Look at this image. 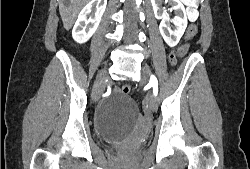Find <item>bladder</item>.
I'll use <instances>...</instances> for the list:
<instances>
[{
  "mask_svg": "<svg viewBox=\"0 0 250 169\" xmlns=\"http://www.w3.org/2000/svg\"><path fill=\"white\" fill-rule=\"evenodd\" d=\"M104 146L117 148V147H119L120 145H104Z\"/></svg>",
  "mask_w": 250,
  "mask_h": 169,
  "instance_id": "obj_1",
  "label": "bladder"
}]
</instances>
